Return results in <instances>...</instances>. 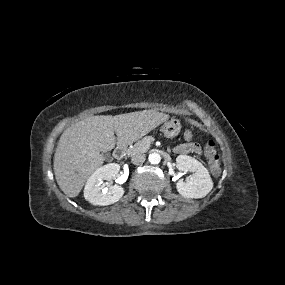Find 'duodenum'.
Returning a JSON list of instances; mask_svg holds the SVG:
<instances>
[{"label": "duodenum", "mask_w": 285, "mask_h": 285, "mask_svg": "<svg viewBox=\"0 0 285 285\" xmlns=\"http://www.w3.org/2000/svg\"><path fill=\"white\" fill-rule=\"evenodd\" d=\"M126 153V148L123 145L118 146L114 151V156L116 159H122Z\"/></svg>", "instance_id": "410a0bca"}]
</instances>
